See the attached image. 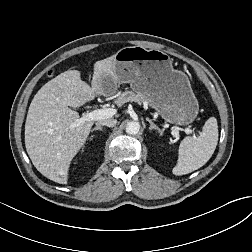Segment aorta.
<instances>
[{
	"label": "aorta",
	"instance_id": "aorta-1",
	"mask_svg": "<svg viewBox=\"0 0 252 252\" xmlns=\"http://www.w3.org/2000/svg\"><path fill=\"white\" fill-rule=\"evenodd\" d=\"M125 130H126V133L129 135H136L138 134L140 130V124L139 122H136V121L128 122Z\"/></svg>",
	"mask_w": 252,
	"mask_h": 252
}]
</instances>
